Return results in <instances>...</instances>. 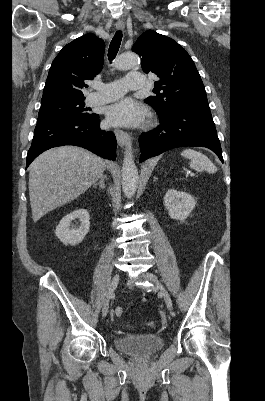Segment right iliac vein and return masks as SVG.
<instances>
[{
  "instance_id": "63e3f726",
  "label": "right iliac vein",
  "mask_w": 265,
  "mask_h": 401,
  "mask_svg": "<svg viewBox=\"0 0 265 401\" xmlns=\"http://www.w3.org/2000/svg\"><path fill=\"white\" fill-rule=\"evenodd\" d=\"M119 280H120V275H118V274L114 275V277L111 280V283H110V286H109V290L107 292L106 299H105V301L103 303V307H102V316L103 317H105L107 315V313H108L109 302H110V299L113 296V293H114L115 289L118 286Z\"/></svg>"
}]
</instances>
